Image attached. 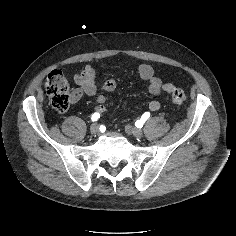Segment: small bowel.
Returning <instances> with one entry per match:
<instances>
[{
    "mask_svg": "<svg viewBox=\"0 0 236 236\" xmlns=\"http://www.w3.org/2000/svg\"><path fill=\"white\" fill-rule=\"evenodd\" d=\"M138 76L147 84L150 94L153 96H160L163 93L170 94L175 89L174 85L165 81L163 78L155 75L153 68L148 64H140L136 68ZM75 84L78 86L72 93V101H78L83 95L93 97L98 106L97 113H102L105 110V95L104 93L112 92L116 87V82L110 78L102 88V92L97 89L98 73L94 66L87 65L80 72L74 75ZM148 108L151 111H157L160 108V103L157 100H151L148 103Z\"/></svg>",
    "mask_w": 236,
    "mask_h": 236,
    "instance_id": "1",
    "label": "small bowel"
}]
</instances>
